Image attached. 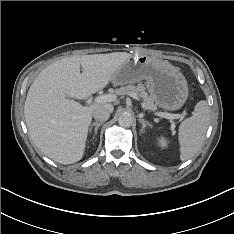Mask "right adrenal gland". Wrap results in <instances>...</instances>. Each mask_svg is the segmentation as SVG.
<instances>
[{
    "label": "right adrenal gland",
    "instance_id": "obj_1",
    "mask_svg": "<svg viewBox=\"0 0 234 234\" xmlns=\"http://www.w3.org/2000/svg\"><path fill=\"white\" fill-rule=\"evenodd\" d=\"M102 122H93L89 128V132L92 131L93 127H95V136L97 135L98 128L102 125Z\"/></svg>",
    "mask_w": 234,
    "mask_h": 234
}]
</instances>
